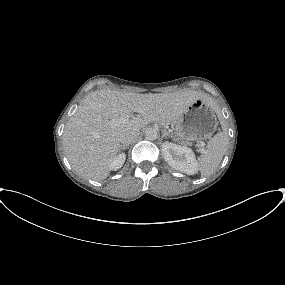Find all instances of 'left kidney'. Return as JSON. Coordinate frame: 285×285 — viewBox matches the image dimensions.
Instances as JSON below:
<instances>
[{"instance_id": "1", "label": "left kidney", "mask_w": 285, "mask_h": 285, "mask_svg": "<svg viewBox=\"0 0 285 285\" xmlns=\"http://www.w3.org/2000/svg\"><path fill=\"white\" fill-rule=\"evenodd\" d=\"M162 154L165 161L174 169L188 175L197 173L196 158L190 148L171 142H164L162 144Z\"/></svg>"}]
</instances>
